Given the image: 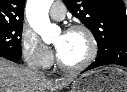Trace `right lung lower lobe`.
I'll use <instances>...</instances> for the list:
<instances>
[{
  "instance_id": "98d812e1",
  "label": "right lung lower lobe",
  "mask_w": 127,
  "mask_h": 92,
  "mask_svg": "<svg viewBox=\"0 0 127 92\" xmlns=\"http://www.w3.org/2000/svg\"><path fill=\"white\" fill-rule=\"evenodd\" d=\"M0 57H4L11 61H18L21 58V53H13V52H7L3 49H0Z\"/></svg>"
}]
</instances>
